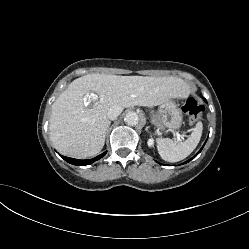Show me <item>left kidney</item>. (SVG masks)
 <instances>
[{
	"label": "left kidney",
	"instance_id": "obj_1",
	"mask_svg": "<svg viewBox=\"0 0 249 249\" xmlns=\"http://www.w3.org/2000/svg\"><path fill=\"white\" fill-rule=\"evenodd\" d=\"M147 145H148L149 148L154 147V139L153 138L148 139Z\"/></svg>",
	"mask_w": 249,
	"mask_h": 249
}]
</instances>
